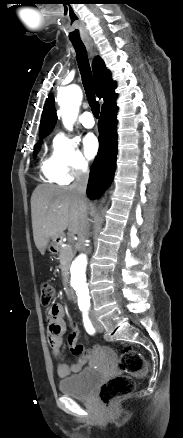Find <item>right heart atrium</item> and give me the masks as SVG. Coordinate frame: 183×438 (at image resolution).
Segmentation results:
<instances>
[{
    "instance_id": "right-heart-atrium-1",
    "label": "right heart atrium",
    "mask_w": 183,
    "mask_h": 438,
    "mask_svg": "<svg viewBox=\"0 0 183 438\" xmlns=\"http://www.w3.org/2000/svg\"><path fill=\"white\" fill-rule=\"evenodd\" d=\"M52 173L56 181L68 183L88 170V162L74 139L59 133L53 140Z\"/></svg>"
}]
</instances>
